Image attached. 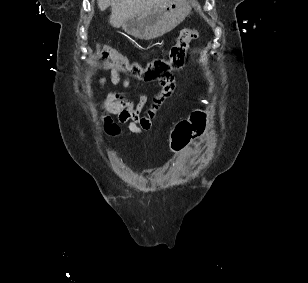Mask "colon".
<instances>
[{
	"mask_svg": "<svg viewBox=\"0 0 308 283\" xmlns=\"http://www.w3.org/2000/svg\"><path fill=\"white\" fill-rule=\"evenodd\" d=\"M199 36L196 29L183 28L178 32L175 43L168 53L142 65L130 61L127 57L108 46L97 45L99 58L118 70L148 81L156 80L163 86H174L172 71L179 69L186 57L189 44ZM206 101H201L190 116L177 122L170 134V149L174 153L182 152L193 140L204 131L208 120Z\"/></svg>",
	"mask_w": 308,
	"mask_h": 283,
	"instance_id": "1",
	"label": "colon"
}]
</instances>
